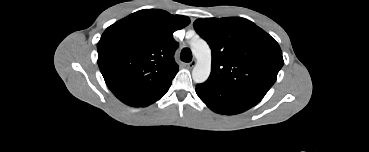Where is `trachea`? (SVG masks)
<instances>
[{"label":"trachea","mask_w":369,"mask_h":152,"mask_svg":"<svg viewBox=\"0 0 369 152\" xmlns=\"http://www.w3.org/2000/svg\"><path fill=\"white\" fill-rule=\"evenodd\" d=\"M181 60L184 62H190L192 60V52L189 48H184L181 51Z\"/></svg>","instance_id":"obj_1"}]
</instances>
